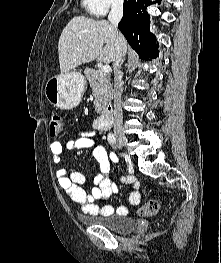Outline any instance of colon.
<instances>
[{"instance_id": "obj_1", "label": "colon", "mask_w": 221, "mask_h": 263, "mask_svg": "<svg viewBox=\"0 0 221 263\" xmlns=\"http://www.w3.org/2000/svg\"><path fill=\"white\" fill-rule=\"evenodd\" d=\"M63 120L59 114H52L50 118V134L51 136H58L63 132ZM159 211V202L156 199L148 200L142 207H140L138 213L140 216L155 215Z\"/></svg>"}]
</instances>
